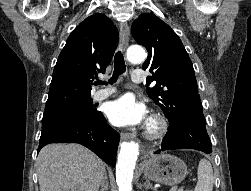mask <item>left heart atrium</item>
Masks as SVG:
<instances>
[{
    "instance_id": "left-heart-atrium-1",
    "label": "left heart atrium",
    "mask_w": 251,
    "mask_h": 191,
    "mask_svg": "<svg viewBox=\"0 0 251 191\" xmlns=\"http://www.w3.org/2000/svg\"><path fill=\"white\" fill-rule=\"evenodd\" d=\"M106 115L118 127H132L146 122V108L131 96H123L108 103Z\"/></svg>"
}]
</instances>
